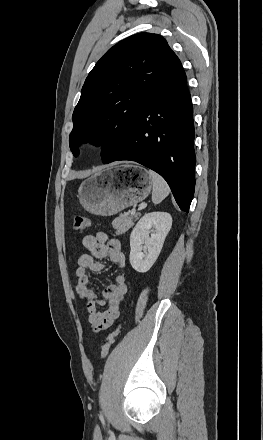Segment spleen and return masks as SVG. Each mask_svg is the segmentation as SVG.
I'll list each match as a JSON object with an SVG mask.
<instances>
[{"label":"spleen","instance_id":"obj_1","mask_svg":"<svg viewBox=\"0 0 263 440\" xmlns=\"http://www.w3.org/2000/svg\"><path fill=\"white\" fill-rule=\"evenodd\" d=\"M149 176L152 180V201L154 204H159L163 199H165L169 193L170 188L167 182L162 176L154 171H149Z\"/></svg>","mask_w":263,"mask_h":440}]
</instances>
